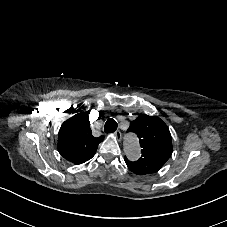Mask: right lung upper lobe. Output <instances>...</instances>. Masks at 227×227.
<instances>
[{"label": "right lung upper lobe", "mask_w": 227, "mask_h": 227, "mask_svg": "<svg viewBox=\"0 0 227 227\" xmlns=\"http://www.w3.org/2000/svg\"><path fill=\"white\" fill-rule=\"evenodd\" d=\"M104 136L94 137L87 112H81L65 121L58 134V150L62 157L81 164L91 159Z\"/></svg>", "instance_id": "obj_1"}]
</instances>
